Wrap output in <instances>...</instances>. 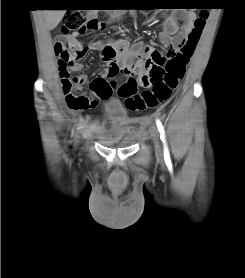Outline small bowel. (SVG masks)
Returning a JSON list of instances; mask_svg holds the SVG:
<instances>
[{"mask_svg":"<svg viewBox=\"0 0 245 278\" xmlns=\"http://www.w3.org/2000/svg\"><path fill=\"white\" fill-rule=\"evenodd\" d=\"M194 18L195 15L193 13L180 16H165L157 39L164 46L167 56H173L180 51V45L186 40L187 35L193 29ZM103 28L104 26L100 24L97 30H102ZM80 34L82 32H76L71 36L63 38L69 43L77 44V37ZM88 48L91 50H102V58L107 66L106 72L100 74L93 81L97 105L102 100L110 97V78L117 75L120 69L125 73H132L139 68L146 70L147 66L154 64L156 55L160 54L159 50L153 45L138 43L133 48H129L128 42L124 40L117 42L95 40L88 44ZM143 59H146V63ZM117 60H120V65L117 64ZM81 69L82 65L78 61H74L68 66L70 73L79 72ZM79 77L86 81L85 76L81 75ZM62 83L65 86L66 82L62 80ZM143 121H146V119ZM102 128L103 124L101 122H93L89 126L90 132L95 136H100Z\"/></svg>","mask_w":245,"mask_h":278,"instance_id":"small-bowel-1","label":"small bowel"}]
</instances>
